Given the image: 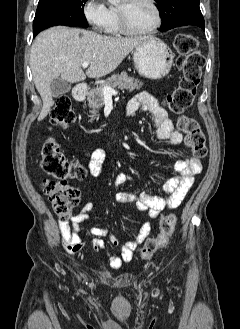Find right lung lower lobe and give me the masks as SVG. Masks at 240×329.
Instances as JSON below:
<instances>
[{
    "instance_id": "1",
    "label": "right lung lower lobe",
    "mask_w": 240,
    "mask_h": 329,
    "mask_svg": "<svg viewBox=\"0 0 240 329\" xmlns=\"http://www.w3.org/2000/svg\"><path fill=\"white\" fill-rule=\"evenodd\" d=\"M41 31H42V30H40V31H38V32H35V33H34V36H36V35H37L39 32H41Z\"/></svg>"
}]
</instances>
